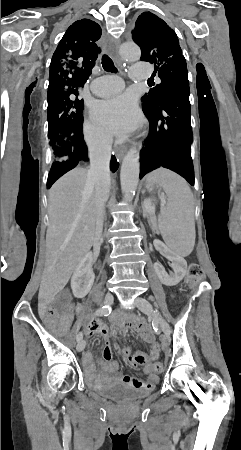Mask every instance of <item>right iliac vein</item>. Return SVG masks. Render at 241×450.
I'll return each mask as SVG.
<instances>
[{"label": "right iliac vein", "instance_id": "1", "mask_svg": "<svg viewBox=\"0 0 241 450\" xmlns=\"http://www.w3.org/2000/svg\"><path fill=\"white\" fill-rule=\"evenodd\" d=\"M112 303H113V295L111 293H107L105 295V298H104V304L110 305ZM84 347H85V341L84 340H80L78 342V344H77V348L76 349H77L78 352H80V351H82L84 349Z\"/></svg>", "mask_w": 241, "mask_h": 450}]
</instances>
